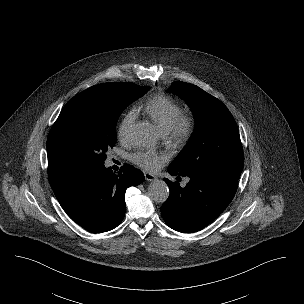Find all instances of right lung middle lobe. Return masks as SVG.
<instances>
[{
    "label": "right lung middle lobe",
    "mask_w": 304,
    "mask_h": 304,
    "mask_svg": "<svg viewBox=\"0 0 304 304\" xmlns=\"http://www.w3.org/2000/svg\"><path fill=\"white\" fill-rule=\"evenodd\" d=\"M149 88L126 83L111 95L72 98L52 126L47 146L83 171L104 165L107 150L116 143L120 113Z\"/></svg>",
    "instance_id": "obj_1"
}]
</instances>
